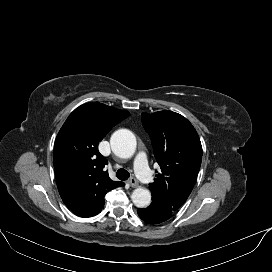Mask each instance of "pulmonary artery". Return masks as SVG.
I'll use <instances>...</instances> for the list:
<instances>
[{"mask_svg":"<svg viewBox=\"0 0 272 272\" xmlns=\"http://www.w3.org/2000/svg\"><path fill=\"white\" fill-rule=\"evenodd\" d=\"M135 169L138 177L144 182L151 181V174L148 169L146 155L143 152L137 154L135 158Z\"/></svg>","mask_w":272,"mask_h":272,"instance_id":"obj_1","label":"pulmonary artery"}]
</instances>
